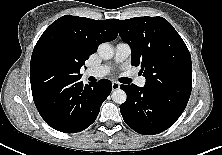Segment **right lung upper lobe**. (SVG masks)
Returning a JSON list of instances; mask_svg holds the SVG:
<instances>
[{
    "mask_svg": "<svg viewBox=\"0 0 222 155\" xmlns=\"http://www.w3.org/2000/svg\"><path fill=\"white\" fill-rule=\"evenodd\" d=\"M118 35L113 20L65 15L53 22L36 43L30 63L33 91L81 78L80 68L101 43Z\"/></svg>",
    "mask_w": 222,
    "mask_h": 155,
    "instance_id": "obj_1",
    "label": "right lung upper lobe"
}]
</instances>
